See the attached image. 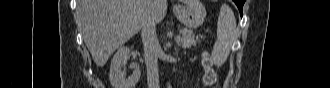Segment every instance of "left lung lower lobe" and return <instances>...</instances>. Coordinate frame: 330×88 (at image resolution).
I'll return each instance as SVG.
<instances>
[{
    "instance_id": "1",
    "label": "left lung lower lobe",
    "mask_w": 330,
    "mask_h": 88,
    "mask_svg": "<svg viewBox=\"0 0 330 88\" xmlns=\"http://www.w3.org/2000/svg\"><path fill=\"white\" fill-rule=\"evenodd\" d=\"M235 3H236V5L238 6V9H239V11H240V14H241V16H242V8H243V4H244V2H245V0H233Z\"/></svg>"
}]
</instances>
